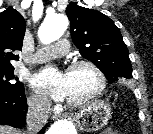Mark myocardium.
<instances>
[{
	"instance_id": "1",
	"label": "myocardium",
	"mask_w": 153,
	"mask_h": 134,
	"mask_svg": "<svg viewBox=\"0 0 153 134\" xmlns=\"http://www.w3.org/2000/svg\"><path fill=\"white\" fill-rule=\"evenodd\" d=\"M80 67H87L94 73L97 79V85L95 89L87 96L79 100H73V101L67 100V104L73 107L82 106L88 103L89 101L93 100L94 98H96L98 95H100L103 92L107 83L104 72L95 62L91 60L87 59L77 60L69 66L68 71H72Z\"/></svg>"
}]
</instances>
